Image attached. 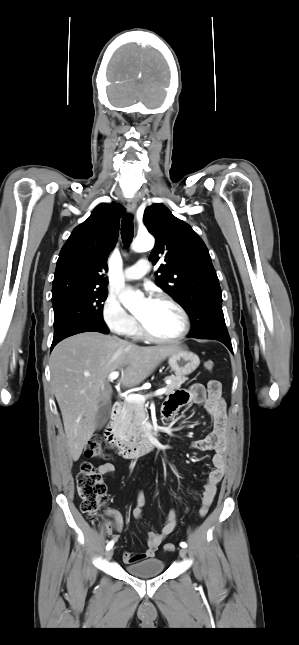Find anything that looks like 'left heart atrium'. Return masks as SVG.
<instances>
[{
    "label": "left heart atrium",
    "mask_w": 299,
    "mask_h": 645,
    "mask_svg": "<svg viewBox=\"0 0 299 645\" xmlns=\"http://www.w3.org/2000/svg\"><path fill=\"white\" fill-rule=\"evenodd\" d=\"M154 301H155V300H154L152 297H148V298L145 300V303H146L147 305H151Z\"/></svg>",
    "instance_id": "39dd6f15"
}]
</instances>
